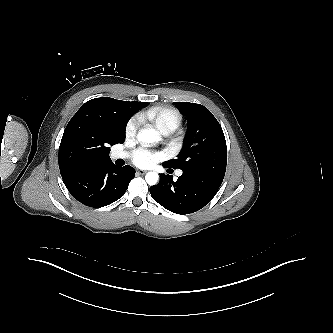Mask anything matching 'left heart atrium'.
Here are the masks:
<instances>
[{
  "label": "left heart atrium",
  "instance_id": "1",
  "mask_svg": "<svg viewBox=\"0 0 333 333\" xmlns=\"http://www.w3.org/2000/svg\"><path fill=\"white\" fill-rule=\"evenodd\" d=\"M163 157L161 152H153L144 148L136 149L132 161L139 167H149Z\"/></svg>",
  "mask_w": 333,
  "mask_h": 333
}]
</instances>
